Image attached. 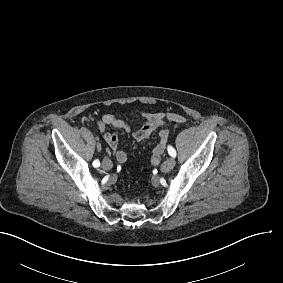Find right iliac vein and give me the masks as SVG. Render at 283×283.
<instances>
[{"label":"right iliac vein","instance_id":"63e3f726","mask_svg":"<svg viewBox=\"0 0 283 283\" xmlns=\"http://www.w3.org/2000/svg\"><path fill=\"white\" fill-rule=\"evenodd\" d=\"M101 166L104 170H110L112 168L113 164H112L110 159L105 158V159H103Z\"/></svg>","mask_w":283,"mask_h":283}]
</instances>
